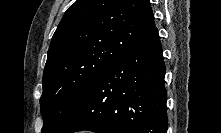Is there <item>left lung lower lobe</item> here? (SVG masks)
Returning <instances> with one entry per match:
<instances>
[{
  "instance_id": "left-lung-lower-lobe-1",
  "label": "left lung lower lobe",
  "mask_w": 221,
  "mask_h": 133,
  "mask_svg": "<svg viewBox=\"0 0 221 133\" xmlns=\"http://www.w3.org/2000/svg\"><path fill=\"white\" fill-rule=\"evenodd\" d=\"M164 76L154 26L101 73L57 133H167Z\"/></svg>"
}]
</instances>
